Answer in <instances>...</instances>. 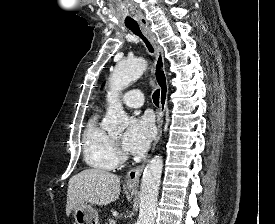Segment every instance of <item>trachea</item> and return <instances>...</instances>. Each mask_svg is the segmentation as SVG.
Wrapping results in <instances>:
<instances>
[{"instance_id":"3493384b","label":"trachea","mask_w":275,"mask_h":224,"mask_svg":"<svg viewBox=\"0 0 275 224\" xmlns=\"http://www.w3.org/2000/svg\"><path fill=\"white\" fill-rule=\"evenodd\" d=\"M128 28L137 36H139L144 43L146 44L148 50L153 53L154 49L153 46L151 45V43L149 42V40L143 35V33L141 32L140 28L138 25H132V26H128ZM159 98H160V90L157 89L154 93H153V102L156 106H159Z\"/></svg>"}]
</instances>
